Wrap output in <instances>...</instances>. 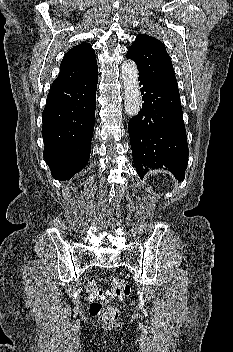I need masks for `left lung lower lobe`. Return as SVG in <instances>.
Returning a JSON list of instances; mask_svg holds the SVG:
<instances>
[{
    "label": "left lung lower lobe",
    "mask_w": 233,
    "mask_h": 352,
    "mask_svg": "<svg viewBox=\"0 0 233 352\" xmlns=\"http://www.w3.org/2000/svg\"><path fill=\"white\" fill-rule=\"evenodd\" d=\"M139 81L142 108L128 123L134 167L141 178L149 168H166L181 181L188 144L180 95L141 74Z\"/></svg>",
    "instance_id": "0a47b994"
}]
</instances>
